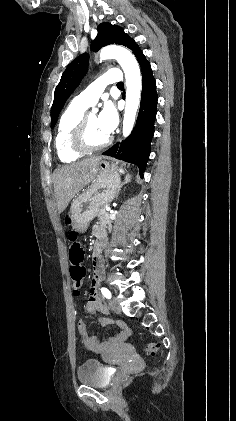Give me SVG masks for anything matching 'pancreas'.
<instances>
[{
  "label": "pancreas",
  "mask_w": 236,
  "mask_h": 421,
  "mask_svg": "<svg viewBox=\"0 0 236 421\" xmlns=\"http://www.w3.org/2000/svg\"><path fill=\"white\" fill-rule=\"evenodd\" d=\"M98 225H101V227H106V229H112V221H110L109 219V213H107V211H105V206H102V208H100V211L98 213Z\"/></svg>",
  "instance_id": "cf45deb5"
}]
</instances>
